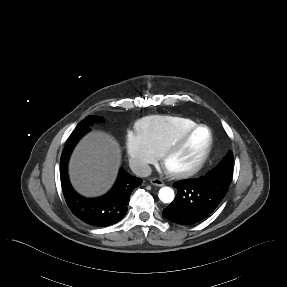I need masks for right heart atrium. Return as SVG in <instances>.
Segmentation results:
<instances>
[{
  "instance_id": "1",
  "label": "right heart atrium",
  "mask_w": 287,
  "mask_h": 287,
  "mask_svg": "<svg viewBox=\"0 0 287 287\" xmlns=\"http://www.w3.org/2000/svg\"><path fill=\"white\" fill-rule=\"evenodd\" d=\"M126 148L132 167L141 174L148 172L150 165L159 158L149 140L138 132L128 134Z\"/></svg>"
}]
</instances>
